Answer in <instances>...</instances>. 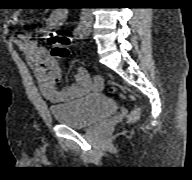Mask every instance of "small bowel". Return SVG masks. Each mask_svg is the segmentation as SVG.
Instances as JSON below:
<instances>
[{
  "label": "small bowel",
  "instance_id": "1",
  "mask_svg": "<svg viewBox=\"0 0 192 180\" xmlns=\"http://www.w3.org/2000/svg\"><path fill=\"white\" fill-rule=\"evenodd\" d=\"M67 17L68 11L66 9L53 11L46 20L44 32L60 27ZM11 21L14 24L19 23V12L13 14ZM15 41L25 53L34 70L42 95L50 101L66 102L102 89V79L99 77L91 79L84 67L78 68L72 85L62 89L58 88L57 84L61 79V70L57 59L46 48L31 40L27 34H18Z\"/></svg>",
  "mask_w": 192,
  "mask_h": 180
}]
</instances>
